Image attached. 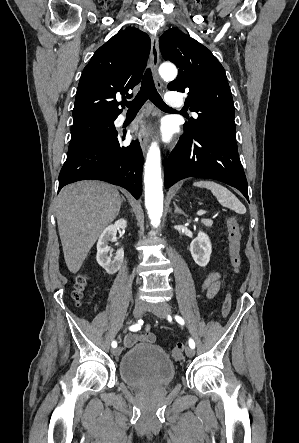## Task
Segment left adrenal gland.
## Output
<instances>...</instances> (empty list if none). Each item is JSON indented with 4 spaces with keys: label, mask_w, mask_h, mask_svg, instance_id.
I'll list each match as a JSON object with an SVG mask.
<instances>
[{
    "label": "left adrenal gland",
    "mask_w": 299,
    "mask_h": 443,
    "mask_svg": "<svg viewBox=\"0 0 299 443\" xmlns=\"http://www.w3.org/2000/svg\"><path fill=\"white\" fill-rule=\"evenodd\" d=\"M173 204H174V207H175V210H174L175 214L179 213V214H183L184 216H186V214L183 212V210H181V208H179L175 202H173Z\"/></svg>",
    "instance_id": "obj_1"
}]
</instances>
